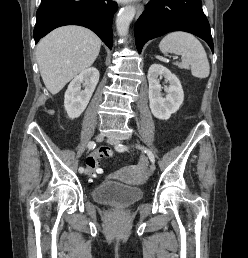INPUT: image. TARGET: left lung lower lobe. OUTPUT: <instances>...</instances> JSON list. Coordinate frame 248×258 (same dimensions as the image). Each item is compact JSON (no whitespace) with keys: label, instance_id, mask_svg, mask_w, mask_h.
I'll return each instance as SVG.
<instances>
[{"label":"left lung lower lobe","instance_id":"1","mask_svg":"<svg viewBox=\"0 0 248 258\" xmlns=\"http://www.w3.org/2000/svg\"><path fill=\"white\" fill-rule=\"evenodd\" d=\"M171 31L192 33L214 51L209 22L201 0H151L135 25V42L139 53L153 38Z\"/></svg>","mask_w":248,"mask_h":258}]
</instances>
